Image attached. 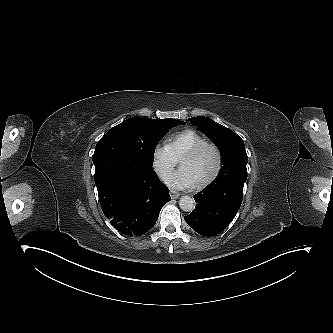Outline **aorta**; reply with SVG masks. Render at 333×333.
I'll return each mask as SVG.
<instances>
[{
  "label": "aorta",
  "mask_w": 333,
  "mask_h": 333,
  "mask_svg": "<svg viewBox=\"0 0 333 333\" xmlns=\"http://www.w3.org/2000/svg\"><path fill=\"white\" fill-rule=\"evenodd\" d=\"M180 208L185 212H190L195 208V201L190 196H182L179 200Z\"/></svg>",
  "instance_id": "obj_1"
}]
</instances>
